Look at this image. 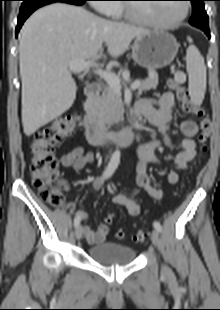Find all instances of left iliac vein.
<instances>
[{
  "label": "left iliac vein",
  "mask_w": 220,
  "mask_h": 310,
  "mask_svg": "<svg viewBox=\"0 0 220 310\" xmlns=\"http://www.w3.org/2000/svg\"><path fill=\"white\" fill-rule=\"evenodd\" d=\"M151 241L154 244V246L159 247L160 245V237H159V232L154 229L151 233ZM163 272L167 273L168 272V268L166 266H163Z\"/></svg>",
  "instance_id": "4c4485c4"
}]
</instances>
